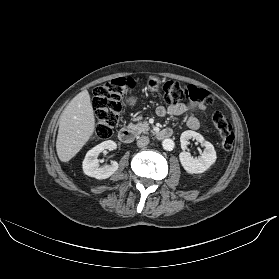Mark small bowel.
<instances>
[{
  "label": "small bowel",
  "mask_w": 279,
  "mask_h": 279,
  "mask_svg": "<svg viewBox=\"0 0 279 279\" xmlns=\"http://www.w3.org/2000/svg\"><path fill=\"white\" fill-rule=\"evenodd\" d=\"M203 110L202 106L197 105L196 103L193 102H182L178 103L176 105H172L169 107L165 106H159L156 109V113L160 117H165L167 115H172V116H177L181 115L187 112L192 113L188 118H187V126L190 129L197 130L200 127V121L197 118V114H200Z\"/></svg>",
  "instance_id": "c3829d8e"
}]
</instances>
